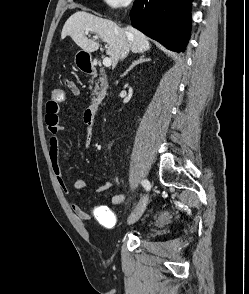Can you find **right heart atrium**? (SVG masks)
I'll return each instance as SVG.
<instances>
[{"instance_id": "d8ad5b80", "label": "right heart atrium", "mask_w": 249, "mask_h": 294, "mask_svg": "<svg viewBox=\"0 0 249 294\" xmlns=\"http://www.w3.org/2000/svg\"><path fill=\"white\" fill-rule=\"evenodd\" d=\"M107 5L113 8L126 7L132 4L133 0H104Z\"/></svg>"}]
</instances>
